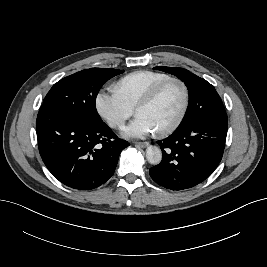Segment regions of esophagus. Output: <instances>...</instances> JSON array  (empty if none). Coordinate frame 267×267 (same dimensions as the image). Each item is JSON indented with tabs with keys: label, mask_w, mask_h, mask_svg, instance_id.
I'll return each instance as SVG.
<instances>
[{
	"label": "esophagus",
	"mask_w": 267,
	"mask_h": 267,
	"mask_svg": "<svg viewBox=\"0 0 267 267\" xmlns=\"http://www.w3.org/2000/svg\"><path fill=\"white\" fill-rule=\"evenodd\" d=\"M135 145L137 147L145 148L149 145V143L148 142H137Z\"/></svg>",
	"instance_id": "esophagus-1"
}]
</instances>
